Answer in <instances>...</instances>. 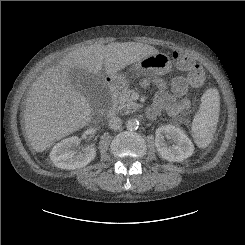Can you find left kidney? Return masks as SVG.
<instances>
[{"label": "left kidney", "instance_id": "left-kidney-1", "mask_svg": "<svg viewBox=\"0 0 245 245\" xmlns=\"http://www.w3.org/2000/svg\"><path fill=\"white\" fill-rule=\"evenodd\" d=\"M155 146L159 155L170 162H180L189 158L194 152V145L185 132L173 125H164L156 130ZM165 138L171 139L169 146Z\"/></svg>", "mask_w": 245, "mask_h": 245}]
</instances>
